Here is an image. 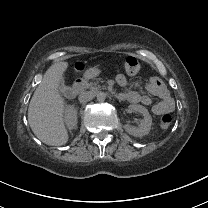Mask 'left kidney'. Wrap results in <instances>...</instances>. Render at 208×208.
I'll return each mask as SVG.
<instances>
[{"label": "left kidney", "mask_w": 208, "mask_h": 208, "mask_svg": "<svg viewBox=\"0 0 208 208\" xmlns=\"http://www.w3.org/2000/svg\"><path fill=\"white\" fill-rule=\"evenodd\" d=\"M128 109L130 111H137L143 114L144 119L141 120V123L138 127L131 126V125H124V129L126 132H128L130 135L136 136V137H142L144 135H147L150 132L151 125H152V118L148 112V110L138 104H131L128 106Z\"/></svg>", "instance_id": "obj_1"}]
</instances>
